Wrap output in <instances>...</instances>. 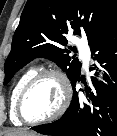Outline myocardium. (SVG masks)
<instances>
[{
	"mask_svg": "<svg viewBox=\"0 0 117 136\" xmlns=\"http://www.w3.org/2000/svg\"><path fill=\"white\" fill-rule=\"evenodd\" d=\"M46 77H54L59 81L61 87V93H62L61 102L58 108L56 109V111L50 116L36 120H29L23 114L24 99L26 95L29 93V91L31 90V88L37 82H39L40 80ZM70 99H71V87L66 74L58 68L43 69L37 72L36 74H34L33 77L22 88L16 105V115L22 122L26 124L34 125V124L48 123L58 119L65 112V110L69 105Z\"/></svg>",
	"mask_w": 117,
	"mask_h": 136,
	"instance_id": "obj_1",
	"label": "myocardium"
}]
</instances>
